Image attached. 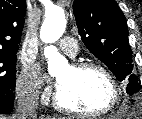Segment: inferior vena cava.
I'll list each match as a JSON object with an SVG mask.
<instances>
[{"instance_id":"obj_1","label":"inferior vena cava","mask_w":142,"mask_h":119,"mask_svg":"<svg viewBox=\"0 0 142 119\" xmlns=\"http://www.w3.org/2000/svg\"><path fill=\"white\" fill-rule=\"evenodd\" d=\"M17 109L14 119H36L39 94L36 88L31 87L18 94Z\"/></svg>"}]
</instances>
